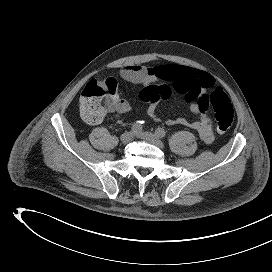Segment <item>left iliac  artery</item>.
<instances>
[{
  "label": "left iliac artery",
  "mask_w": 272,
  "mask_h": 272,
  "mask_svg": "<svg viewBox=\"0 0 272 272\" xmlns=\"http://www.w3.org/2000/svg\"><path fill=\"white\" fill-rule=\"evenodd\" d=\"M155 134L160 138H164L166 136V131L163 128H157Z\"/></svg>",
  "instance_id": "left-iliac-artery-1"
}]
</instances>
